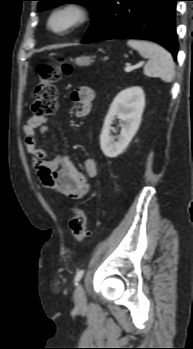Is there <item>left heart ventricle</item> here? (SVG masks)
Returning a JSON list of instances; mask_svg holds the SVG:
<instances>
[{"instance_id":"obj_1","label":"left heart ventricle","mask_w":193,"mask_h":349,"mask_svg":"<svg viewBox=\"0 0 193 349\" xmlns=\"http://www.w3.org/2000/svg\"><path fill=\"white\" fill-rule=\"evenodd\" d=\"M73 16L72 12L59 13L52 19L51 25L54 29H62L71 23Z\"/></svg>"}]
</instances>
